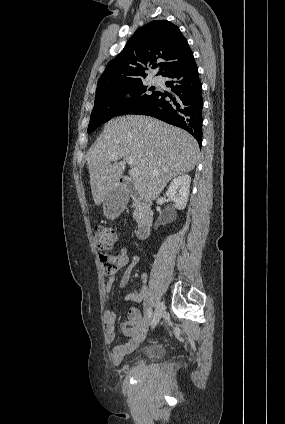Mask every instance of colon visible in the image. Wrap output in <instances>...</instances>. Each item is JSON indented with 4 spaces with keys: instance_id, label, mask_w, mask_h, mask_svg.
I'll return each mask as SVG.
<instances>
[{
    "instance_id": "colon-1",
    "label": "colon",
    "mask_w": 285,
    "mask_h": 424,
    "mask_svg": "<svg viewBox=\"0 0 285 424\" xmlns=\"http://www.w3.org/2000/svg\"><path fill=\"white\" fill-rule=\"evenodd\" d=\"M116 236L114 227L96 226L93 231L94 246L99 253L103 270L109 275L116 273L121 267L119 259L112 253Z\"/></svg>"
}]
</instances>
